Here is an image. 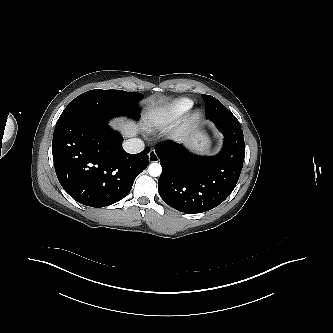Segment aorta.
<instances>
[{
  "mask_svg": "<svg viewBox=\"0 0 333 333\" xmlns=\"http://www.w3.org/2000/svg\"><path fill=\"white\" fill-rule=\"evenodd\" d=\"M148 172L151 176L157 177L162 172V167L159 163H152L149 165Z\"/></svg>",
  "mask_w": 333,
  "mask_h": 333,
  "instance_id": "1",
  "label": "aorta"
}]
</instances>
